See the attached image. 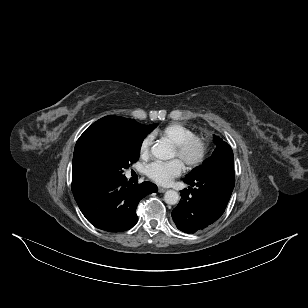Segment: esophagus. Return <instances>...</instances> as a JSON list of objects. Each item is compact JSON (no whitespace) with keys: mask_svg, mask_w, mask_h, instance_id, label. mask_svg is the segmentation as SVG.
<instances>
[{"mask_svg":"<svg viewBox=\"0 0 308 308\" xmlns=\"http://www.w3.org/2000/svg\"><path fill=\"white\" fill-rule=\"evenodd\" d=\"M166 191H167L166 188L158 187V192H159V193H164V192H166Z\"/></svg>","mask_w":308,"mask_h":308,"instance_id":"esophagus-1","label":"esophagus"}]
</instances>
